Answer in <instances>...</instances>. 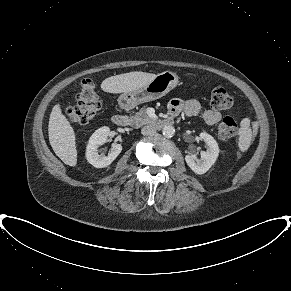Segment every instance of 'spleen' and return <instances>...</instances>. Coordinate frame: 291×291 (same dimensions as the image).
I'll list each match as a JSON object with an SVG mask.
<instances>
[{
    "mask_svg": "<svg viewBox=\"0 0 291 291\" xmlns=\"http://www.w3.org/2000/svg\"><path fill=\"white\" fill-rule=\"evenodd\" d=\"M251 143L250 129H249V121L247 119L243 120L241 123L240 129V137L238 146L240 151H246Z\"/></svg>",
    "mask_w": 291,
    "mask_h": 291,
    "instance_id": "3e777b00",
    "label": "spleen"
}]
</instances>
